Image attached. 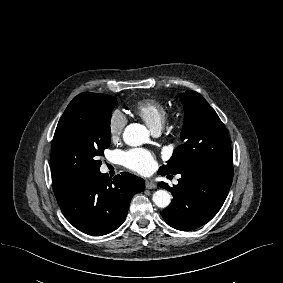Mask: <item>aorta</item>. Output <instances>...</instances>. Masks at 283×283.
<instances>
[{"mask_svg": "<svg viewBox=\"0 0 283 283\" xmlns=\"http://www.w3.org/2000/svg\"><path fill=\"white\" fill-rule=\"evenodd\" d=\"M149 138V133L144 125L133 123L128 125L123 133V139L130 146H140ZM153 202L157 207L166 208L171 202V196L166 190H157L153 194Z\"/></svg>", "mask_w": 283, "mask_h": 283, "instance_id": "1", "label": "aorta"}]
</instances>
